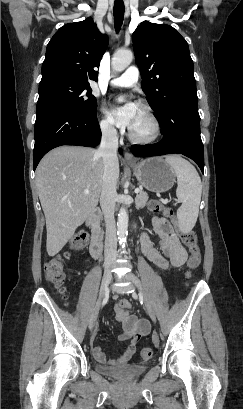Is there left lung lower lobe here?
<instances>
[{"label":"left lung lower lobe","instance_id":"left-lung-lower-lobe-1","mask_svg":"<svg viewBox=\"0 0 243 409\" xmlns=\"http://www.w3.org/2000/svg\"><path fill=\"white\" fill-rule=\"evenodd\" d=\"M158 122L164 134L162 140L155 144L134 145L133 154L137 157L183 154L194 160L204 172V151L200 137L197 99L178 104Z\"/></svg>","mask_w":243,"mask_h":409}]
</instances>
